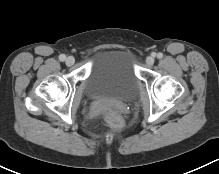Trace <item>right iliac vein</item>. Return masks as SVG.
<instances>
[{
  "mask_svg": "<svg viewBox=\"0 0 219 174\" xmlns=\"http://www.w3.org/2000/svg\"><path fill=\"white\" fill-rule=\"evenodd\" d=\"M65 62H66V65L71 66V65L74 64L75 59H74V57L69 56V57L66 58V61H65Z\"/></svg>",
  "mask_w": 219,
  "mask_h": 174,
  "instance_id": "63e3f726",
  "label": "right iliac vein"
}]
</instances>
